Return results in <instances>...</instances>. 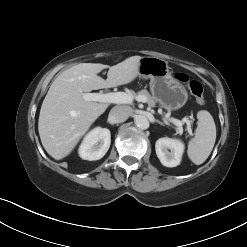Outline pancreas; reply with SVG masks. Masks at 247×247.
<instances>
[{
	"label": "pancreas",
	"instance_id": "1",
	"mask_svg": "<svg viewBox=\"0 0 247 247\" xmlns=\"http://www.w3.org/2000/svg\"><path fill=\"white\" fill-rule=\"evenodd\" d=\"M130 96L135 99L143 97L145 98L144 103H147L149 107H155V100L146 89L139 91L137 94L135 92H131Z\"/></svg>",
	"mask_w": 247,
	"mask_h": 247
}]
</instances>
